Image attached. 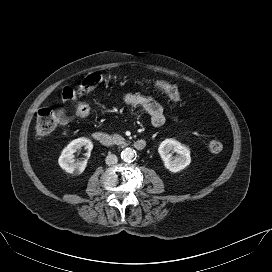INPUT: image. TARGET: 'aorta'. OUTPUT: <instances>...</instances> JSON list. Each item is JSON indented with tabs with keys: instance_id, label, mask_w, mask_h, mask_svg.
I'll return each instance as SVG.
<instances>
[{
	"instance_id": "obj_1",
	"label": "aorta",
	"mask_w": 272,
	"mask_h": 272,
	"mask_svg": "<svg viewBox=\"0 0 272 272\" xmlns=\"http://www.w3.org/2000/svg\"><path fill=\"white\" fill-rule=\"evenodd\" d=\"M135 157V150L132 148H125L121 152V159L125 162H131Z\"/></svg>"
}]
</instances>
